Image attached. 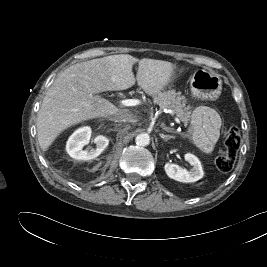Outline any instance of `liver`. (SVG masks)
Here are the masks:
<instances>
[{
  "mask_svg": "<svg viewBox=\"0 0 267 267\" xmlns=\"http://www.w3.org/2000/svg\"><path fill=\"white\" fill-rule=\"evenodd\" d=\"M138 62L137 82L148 95L155 96L175 77L176 65L162 60H141L120 54L75 64L64 70L47 90L37 116V136L46 151L65 129L83 121L107 118L120 113L103 91L126 90L136 79L133 65Z\"/></svg>",
  "mask_w": 267,
  "mask_h": 267,
  "instance_id": "6515ba94",
  "label": "liver"
}]
</instances>
